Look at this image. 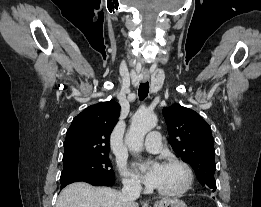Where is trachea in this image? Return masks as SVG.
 I'll use <instances>...</instances> for the list:
<instances>
[{
    "label": "trachea",
    "instance_id": "obj_1",
    "mask_svg": "<svg viewBox=\"0 0 261 207\" xmlns=\"http://www.w3.org/2000/svg\"><path fill=\"white\" fill-rule=\"evenodd\" d=\"M149 93V83L148 81L145 82V83H141L140 86H139V99L140 100H143L147 97Z\"/></svg>",
    "mask_w": 261,
    "mask_h": 207
}]
</instances>
